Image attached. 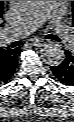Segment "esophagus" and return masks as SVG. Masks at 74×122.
I'll return each mask as SVG.
<instances>
[{"label":"esophagus","instance_id":"1","mask_svg":"<svg viewBox=\"0 0 74 122\" xmlns=\"http://www.w3.org/2000/svg\"><path fill=\"white\" fill-rule=\"evenodd\" d=\"M46 44H47L46 40L39 39V40L34 41L32 45L36 47H42V46H45Z\"/></svg>","mask_w":74,"mask_h":122}]
</instances>
